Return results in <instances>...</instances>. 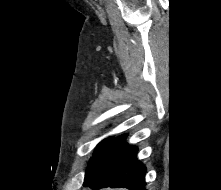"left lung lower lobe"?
Segmentation results:
<instances>
[{
	"label": "left lung lower lobe",
	"mask_w": 221,
	"mask_h": 190,
	"mask_svg": "<svg viewBox=\"0 0 221 190\" xmlns=\"http://www.w3.org/2000/svg\"><path fill=\"white\" fill-rule=\"evenodd\" d=\"M127 134L118 136L103 152L92 171L85 175L84 186L145 189L146 167L137 158V147L125 143Z\"/></svg>",
	"instance_id": "left-lung-lower-lobe-1"
}]
</instances>
